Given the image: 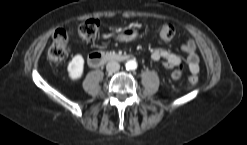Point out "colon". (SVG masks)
<instances>
[{
	"instance_id": "colon-1",
	"label": "colon",
	"mask_w": 247,
	"mask_h": 145,
	"mask_svg": "<svg viewBox=\"0 0 247 145\" xmlns=\"http://www.w3.org/2000/svg\"><path fill=\"white\" fill-rule=\"evenodd\" d=\"M100 22L98 19L91 18L83 21L78 26L79 36L86 41H93L97 38L99 33ZM156 34L162 39H171L175 35V27L170 22H165L155 26ZM69 38L64 29H58L55 31L52 39V43L48 49V59L54 63L62 62L69 54ZM182 75V66L179 64L172 73L173 78L178 79ZM188 83L195 85L198 83L199 78L197 75H190L188 77Z\"/></svg>"
}]
</instances>
